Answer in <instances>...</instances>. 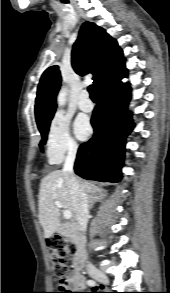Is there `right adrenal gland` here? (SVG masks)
Returning <instances> with one entry per match:
<instances>
[{"instance_id": "obj_1", "label": "right adrenal gland", "mask_w": 170, "mask_h": 293, "mask_svg": "<svg viewBox=\"0 0 170 293\" xmlns=\"http://www.w3.org/2000/svg\"><path fill=\"white\" fill-rule=\"evenodd\" d=\"M106 197L103 192H92L88 195L89 209H92L95 202L102 201Z\"/></svg>"}]
</instances>
